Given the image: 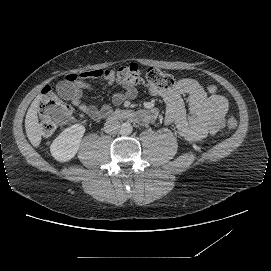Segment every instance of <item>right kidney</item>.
Wrapping results in <instances>:
<instances>
[{
	"instance_id": "obj_1",
	"label": "right kidney",
	"mask_w": 271,
	"mask_h": 271,
	"mask_svg": "<svg viewBox=\"0 0 271 271\" xmlns=\"http://www.w3.org/2000/svg\"><path fill=\"white\" fill-rule=\"evenodd\" d=\"M84 133L85 127L81 124H74L66 128L52 142L50 146L52 156L60 162L72 159L79 149Z\"/></svg>"
}]
</instances>
